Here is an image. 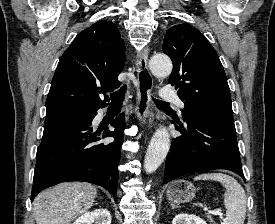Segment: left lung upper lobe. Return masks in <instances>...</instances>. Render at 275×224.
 I'll return each mask as SVG.
<instances>
[{"instance_id":"5c2ea615","label":"left lung upper lobe","mask_w":275,"mask_h":224,"mask_svg":"<svg viewBox=\"0 0 275 224\" xmlns=\"http://www.w3.org/2000/svg\"><path fill=\"white\" fill-rule=\"evenodd\" d=\"M163 52L173 63L169 83L184 101L185 122L198 116L234 122L226 74L202 33L188 23L175 25L165 34Z\"/></svg>"}]
</instances>
